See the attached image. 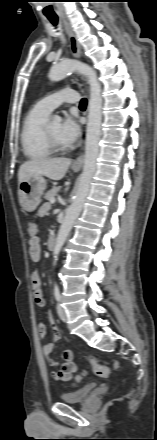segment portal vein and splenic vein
Instances as JSON below:
<instances>
[{"mask_svg":"<svg viewBox=\"0 0 157 440\" xmlns=\"http://www.w3.org/2000/svg\"><path fill=\"white\" fill-rule=\"evenodd\" d=\"M50 202H51V204H54V203H55V198H52V199L50 200Z\"/></svg>","mask_w":157,"mask_h":440,"instance_id":"1","label":"portal vein and splenic vein"}]
</instances>
